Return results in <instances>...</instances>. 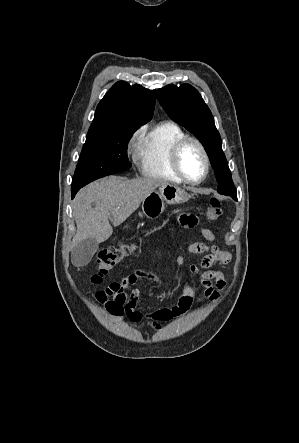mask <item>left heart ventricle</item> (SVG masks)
Returning <instances> with one entry per match:
<instances>
[{"instance_id":"left-heart-ventricle-1","label":"left heart ventricle","mask_w":299,"mask_h":443,"mask_svg":"<svg viewBox=\"0 0 299 443\" xmlns=\"http://www.w3.org/2000/svg\"><path fill=\"white\" fill-rule=\"evenodd\" d=\"M180 163L186 176L192 180L199 179L204 173V160L199 148L194 143H189L184 147Z\"/></svg>"}]
</instances>
